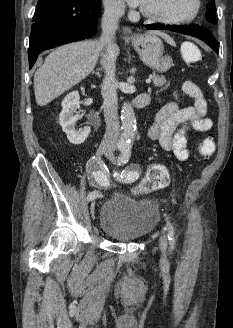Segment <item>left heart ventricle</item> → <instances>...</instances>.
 <instances>
[{"label": "left heart ventricle", "mask_w": 233, "mask_h": 328, "mask_svg": "<svg viewBox=\"0 0 233 328\" xmlns=\"http://www.w3.org/2000/svg\"><path fill=\"white\" fill-rule=\"evenodd\" d=\"M141 7L149 13L166 18H184L194 8L193 0H144Z\"/></svg>", "instance_id": "b2bd125f"}]
</instances>
